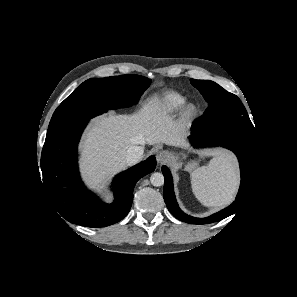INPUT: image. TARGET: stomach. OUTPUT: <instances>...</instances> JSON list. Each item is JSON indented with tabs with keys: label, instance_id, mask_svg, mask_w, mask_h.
Here are the masks:
<instances>
[{
	"label": "stomach",
	"instance_id": "1",
	"mask_svg": "<svg viewBox=\"0 0 297 297\" xmlns=\"http://www.w3.org/2000/svg\"><path fill=\"white\" fill-rule=\"evenodd\" d=\"M197 166H198V162L195 160H191L188 163H186L185 170L192 171V170L196 169Z\"/></svg>",
	"mask_w": 297,
	"mask_h": 297
}]
</instances>
